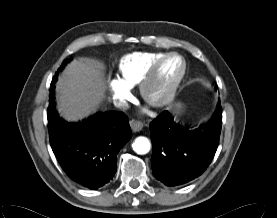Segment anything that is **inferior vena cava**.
I'll return each mask as SVG.
<instances>
[{
  "label": "inferior vena cava",
  "mask_w": 277,
  "mask_h": 218,
  "mask_svg": "<svg viewBox=\"0 0 277 218\" xmlns=\"http://www.w3.org/2000/svg\"><path fill=\"white\" fill-rule=\"evenodd\" d=\"M113 104L116 108H119L121 110H125L128 108V103L125 100L115 99L113 101Z\"/></svg>",
  "instance_id": "602c4592"
}]
</instances>
